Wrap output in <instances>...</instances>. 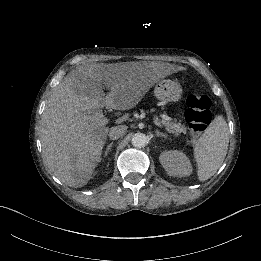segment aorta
<instances>
[{
	"instance_id": "obj_1",
	"label": "aorta",
	"mask_w": 261,
	"mask_h": 261,
	"mask_svg": "<svg viewBox=\"0 0 261 261\" xmlns=\"http://www.w3.org/2000/svg\"><path fill=\"white\" fill-rule=\"evenodd\" d=\"M131 143L134 147L142 148L145 147L148 143V138L143 133H135L131 139Z\"/></svg>"
}]
</instances>
